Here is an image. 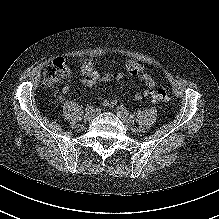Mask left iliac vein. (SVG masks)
Masks as SVG:
<instances>
[{"label": "left iliac vein", "mask_w": 219, "mask_h": 219, "mask_svg": "<svg viewBox=\"0 0 219 219\" xmlns=\"http://www.w3.org/2000/svg\"><path fill=\"white\" fill-rule=\"evenodd\" d=\"M116 115L122 120V122H123L126 126L130 127V126L133 125V119H132L130 116L124 114V113L120 110L119 107H118L117 110H116Z\"/></svg>", "instance_id": "left-iliac-vein-1"}]
</instances>
